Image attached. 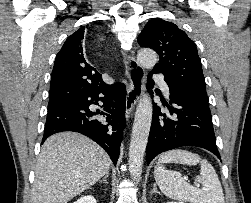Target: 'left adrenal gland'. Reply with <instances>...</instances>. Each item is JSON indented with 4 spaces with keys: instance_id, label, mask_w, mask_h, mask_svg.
<instances>
[{
    "instance_id": "left-adrenal-gland-1",
    "label": "left adrenal gland",
    "mask_w": 251,
    "mask_h": 203,
    "mask_svg": "<svg viewBox=\"0 0 251 203\" xmlns=\"http://www.w3.org/2000/svg\"><path fill=\"white\" fill-rule=\"evenodd\" d=\"M153 192L158 193V191H157V187H156V184H154V188H153V190L151 191V194H152Z\"/></svg>"
}]
</instances>
